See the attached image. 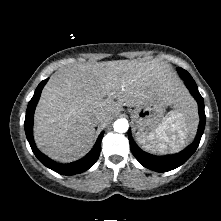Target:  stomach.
<instances>
[{
    "label": "stomach",
    "instance_id": "obj_1",
    "mask_svg": "<svg viewBox=\"0 0 221 221\" xmlns=\"http://www.w3.org/2000/svg\"><path fill=\"white\" fill-rule=\"evenodd\" d=\"M167 106L168 104L163 98H155L152 101L136 107L132 112V120L138 130L137 134L144 136L156 135V130L166 119L167 115H164ZM153 141L157 142L156 139Z\"/></svg>",
    "mask_w": 221,
    "mask_h": 221
}]
</instances>
